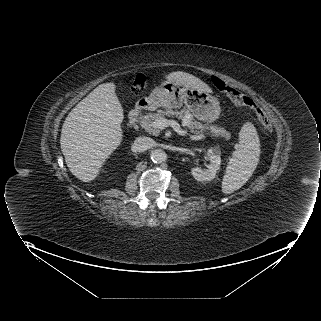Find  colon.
<instances>
[{
    "label": "colon",
    "instance_id": "obj_1",
    "mask_svg": "<svg viewBox=\"0 0 321 321\" xmlns=\"http://www.w3.org/2000/svg\"><path fill=\"white\" fill-rule=\"evenodd\" d=\"M212 83L214 87L219 90L220 92L224 93L236 106L245 107L251 109L255 112L259 122L267 132L272 131V123L267 115V113L257 106L252 99L245 96L235 88L229 86L225 81L218 77L212 78ZM144 86V79L143 77L139 76L134 80L133 90L135 92L142 91Z\"/></svg>",
    "mask_w": 321,
    "mask_h": 321
}]
</instances>
